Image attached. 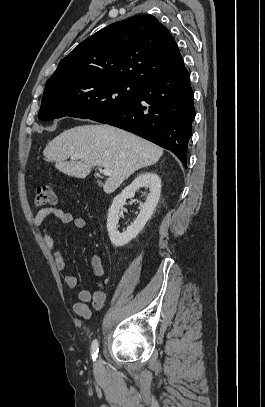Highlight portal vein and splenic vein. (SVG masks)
<instances>
[{
    "instance_id": "18ae733b",
    "label": "portal vein and splenic vein",
    "mask_w": 265,
    "mask_h": 407,
    "mask_svg": "<svg viewBox=\"0 0 265 407\" xmlns=\"http://www.w3.org/2000/svg\"><path fill=\"white\" fill-rule=\"evenodd\" d=\"M79 158H81V156H80V155H77V154L71 156V159H72V160L79 159ZM98 170L100 171V173H102V174L105 175V176H110V175L112 174V173H111V170H109V169H107V168H104V169L98 168Z\"/></svg>"
}]
</instances>
